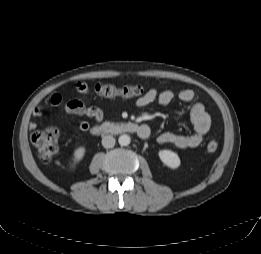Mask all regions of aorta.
Wrapping results in <instances>:
<instances>
[{"label": "aorta", "mask_w": 261, "mask_h": 254, "mask_svg": "<svg viewBox=\"0 0 261 254\" xmlns=\"http://www.w3.org/2000/svg\"><path fill=\"white\" fill-rule=\"evenodd\" d=\"M118 142L121 146H128L131 142V139L127 134H123L119 136Z\"/></svg>", "instance_id": "762f6f07"}]
</instances>
